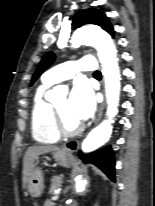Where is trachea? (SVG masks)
Instances as JSON below:
<instances>
[{
    "label": "trachea",
    "instance_id": "trachea-1",
    "mask_svg": "<svg viewBox=\"0 0 155 206\" xmlns=\"http://www.w3.org/2000/svg\"><path fill=\"white\" fill-rule=\"evenodd\" d=\"M94 76H101V72L100 71H95Z\"/></svg>",
    "mask_w": 155,
    "mask_h": 206
}]
</instances>
